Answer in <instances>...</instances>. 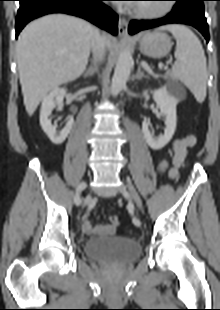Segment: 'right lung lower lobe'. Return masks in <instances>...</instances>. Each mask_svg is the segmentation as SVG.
I'll return each instance as SVG.
<instances>
[{
  "mask_svg": "<svg viewBox=\"0 0 220 310\" xmlns=\"http://www.w3.org/2000/svg\"><path fill=\"white\" fill-rule=\"evenodd\" d=\"M16 17V38L31 20L49 13H66L84 18L98 27L116 35L118 16L104 0H19Z\"/></svg>",
  "mask_w": 220,
  "mask_h": 310,
  "instance_id": "98d812e1",
  "label": "right lung lower lobe"
}]
</instances>
